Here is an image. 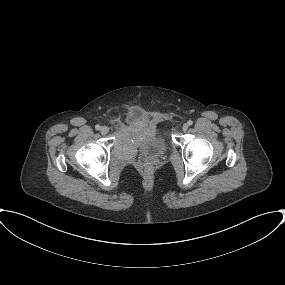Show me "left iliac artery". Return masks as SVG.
Returning <instances> with one entry per match:
<instances>
[{"label": "left iliac artery", "instance_id": "1", "mask_svg": "<svg viewBox=\"0 0 285 285\" xmlns=\"http://www.w3.org/2000/svg\"><path fill=\"white\" fill-rule=\"evenodd\" d=\"M187 123H188V125H192V124H193V121H192V120H189Z\"/></svg>", "mask_w": 285, "mask_h": 285}]
</instances>
